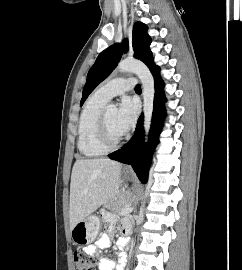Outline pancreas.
<instances>
[{"label":"pancreas","mask_w":242,"mask_h":270,"mask_svg":"<svg viewBox=\"0 0 242 270\" xmlns=\"http://www.w3.org/2000/svg\"><path fill=\"white\" fill-rule=\"evenodd\" d=\"M133 197L130 193H123L116 201H112L107 207L112 212H120L127 206L131 205Z\"/></svg>","instance_id":"pancreas-1"}]
</instances>
